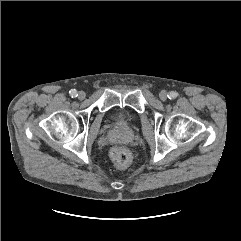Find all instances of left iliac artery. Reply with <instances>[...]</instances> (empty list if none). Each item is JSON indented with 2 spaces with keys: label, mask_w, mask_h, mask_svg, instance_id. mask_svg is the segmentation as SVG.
<instances>
[{
  "label": "left iliac artery",
  "mask_w": 241,
  "mask_h": 241,
  "mask_svg": "<svg viewBox=\"0 0 241 241\" xmlns=\"http://www.w3.org/2000/svg\"><path fill=\"white\" fill-rule=\"evenodd\" d=\"M177 93L176 92H174V91H171L170 93H169V95H168V98L169 99H175L176 97H177Z\"/></svg>",
  "instance_id": "obj_1"
}]
</instances>
